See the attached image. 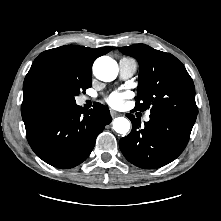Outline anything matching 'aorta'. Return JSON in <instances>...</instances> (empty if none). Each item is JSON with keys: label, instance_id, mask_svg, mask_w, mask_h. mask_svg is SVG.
Here are the masks:
<instances>
[{"label": "aorta", "instance_id": "obj_1", "mask_svg": "<svg viewBox=\"0 0 221 221\" xmlns=\"http://www.w3.org/2000/svg\"><path fill=\"white\" fill-rule=\"evenodd\" d=\"M93 72L99 80L110 82L117 77L118 65L112 58L103 56L94 62ZM113 129L119 134H126L130 130V122L125 117L115 118Z\"/></svg>", "mask_w": 221, "mask_h": 221}]
</instances>
